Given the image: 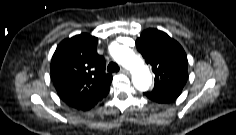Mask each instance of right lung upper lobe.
Wrapping results in <instances>:
<instances>
[{
  "mask_svg": "<svg viewBox=\"0 0 236 135\" xmlns=\"http://www.w3.org/2000/svg\"><path fill=\"white\" fill-rule=\"evenodd\" d=\"M98 38L80 34L63 40L51 60V76L60 98L68 105L90 101L110 88L112 75L98 55Z\"/></svg>",
  "mask_w": 236,
  "mask_h": 135,
  "instance_id": "1",
  "label": "right lung upper lobe"
}]
</instances>
